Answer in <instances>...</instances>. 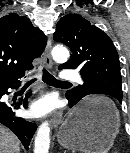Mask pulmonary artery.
Here are the masks:
<instances>
[{
	"label": "pulmonary artery",
	"mask_w": 130,
	"mask_h": 153,
	"mask_svg": "<svg viewBox=\"0 0 130 153\" xmlns=\"http://www.w3.org/2000/svg\"><path fill=\"white\" fill-rule=\"evenodd\" d=\"M63 81L66 82H81V76L77 71L65 70L62 73Z\"/></svg>",
	"instance_id": "obj_1"
}]
</instances>
